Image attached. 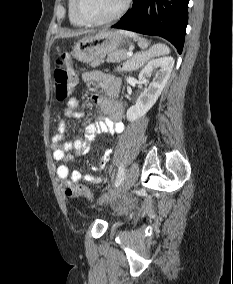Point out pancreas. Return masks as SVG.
Listing matches in <instances>:
<instances>
[{
  "label": "pancreas",
  "instance_id": "cf45deb5",
  "mask_svg": "<svg viewBox=\"0 0 233 284\" xmlns=\"http://www.w3.org/2000/svg\"><path fill=\"white\" fill-rule=\"evenodd\" d=\"M138 56H139V54L130 58L127 55L126 50H117V51H114L112 53H109L106 61L112 62V63H120L121 61H125L124 69H127L128 71H132V70L138 69L144 63L143 61L138 59ZM103 62H104V59L101 58V59L97 60L96 62H94L92 64V66L94 67V66L99 65L100 63H103Z\"/></svg>",
  "mask_w": 233,
  "mask_h": 284
}]
</instances>
